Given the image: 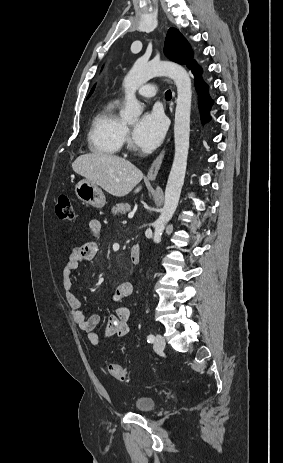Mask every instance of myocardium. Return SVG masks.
<instances>
[{
  "mask_svg": "<svg viewBox=\"0 0 283 463\" xmlns=\"http://www.w3.org/2000/svg\"><path fill=\"white\" fill-rule=\"evenodd\" d=\"M126 132H127V131H126ZM126 135H127V134H126ZM128 147H129V149H130L131 151H134V152H136V151H137V149L134 147V145L132 144V142H131V141H129V145H128Z\"/></svg>",
  "mask_w": 283,
  "mask_h": 463,
  "instance_id": "myocardium-1",
  "label": "myocardium"
}]
</instances>
